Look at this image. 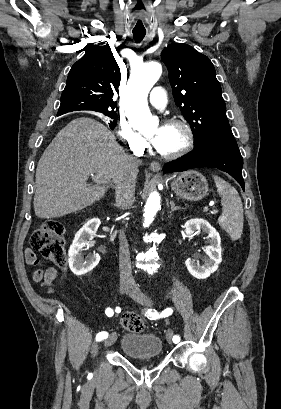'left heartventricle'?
<instances>
[{
  "label": "left heart ventricle",
  "instance_id": "left-heart-ventricle-1",
  "mask_svg": "<svg viewBox=\"0 0 281 409\" xmlns=\"http://www.w3.org/2000/svg\"><path fill=\"white\" fill-rule=\"evenodd\" d=\"M161 131V139L159 145L155 147L161 152L169 153L177 150L182 146L184 143V133L183 131L175 126H155L150 130L147 135L148 139H151L152 136L160 129Z\"/></svg>",
  "mask_w": 281,
  "mask_h": 409
}]
</instances>
